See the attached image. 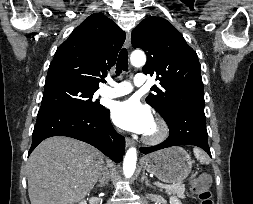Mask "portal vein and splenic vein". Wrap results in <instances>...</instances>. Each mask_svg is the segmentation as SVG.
<instances>
[{
    "label": "portal vein and splenic vein",
    "mask_w": 253,
    "mask_h": 204,
    "mask_svg": "<svg viewBox=\"0 0 253 204\" xmlns=\"http://www.w3.org/2000/svg\"><path fill=\"white\" fill-rule=\"evenodd\" d=\"M154 185H156L157 187H160V188L171 189V188H176L177 186L181 185V182L174 183L172 185H166V184H163L160 182H154Z\"/></svg>",
    "instance_id": "1"
}]
</instances>
